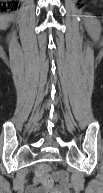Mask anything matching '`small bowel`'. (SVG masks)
I'll use <instances>...</instances> for the list:
<instances>
[{"label":"small bowel","instance_id":"1","mask_svg":"<svg viewBox=\"0 0 103 193\" xmlns=\"http://www.w3.org/2000/svg\"><path fill=\"white\" fill-rule=\"evenodd\" d=\"M71 186L69 178L66 174H60L58 183L53 188H47L40 185V179L35 178L33 183L25 188L24 193H71Z\"/></svg>","mask_w":103,"mask_h":193}]
</instances>
